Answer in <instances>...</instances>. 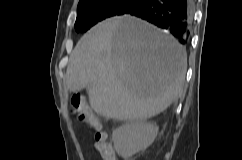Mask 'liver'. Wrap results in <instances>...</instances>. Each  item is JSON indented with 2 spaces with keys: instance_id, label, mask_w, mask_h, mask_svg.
<instances>
[{
  "instance_id": "liver-1",
  "label": "liver",
  "mask_w": 242,
  "mask_h": 160,
  "mask_svg": "<svg viewBox=\"0 0 242 160\" xmlns=\"http://www.w3.org/2000/svg\"><path fill=\"white\" fill-rule=\"evenodd\" d=\"M186 67V51L171 35L124 15L83 35L71 54L66 84L70 92L87 88L99 115L145 121L177 99Z\"/></svg>"
}]
</instances>
